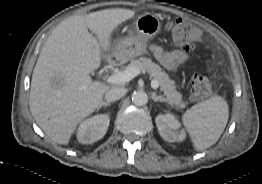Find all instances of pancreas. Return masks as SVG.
Wrapping results in <instances>:
<instances>
[{
    "mask_svg": "<svg viewBox=\"0 0 262 184\" xmlns=\"http://www.w3.org/2000/svg\"><path fill=\"white\" fill-rule=\"evenodd\" d=\"M129 67H137L140 71L147 72L152 78H154L158 82L160 90L164 93L171 105H176L180 108L185 107L182 95L176 90L174 81L169 78L166 72L161 70L159 65L152 62L150 58L140 57L131 60L130 64L126 66L125 69Z\"/></svg>",
    "mask_w": 262,
    "mask_h": 184,
    "instance_id": "obj_1",
    "label": "pancreas"
}]
</instances>
